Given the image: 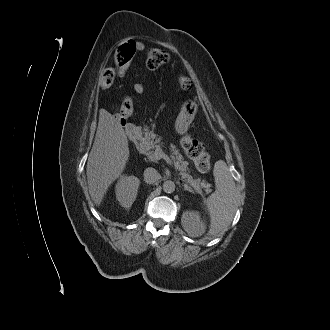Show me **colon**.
Listing matches in <instances>:
<instances>
[{"mask_svg":"<svg viewBox=\"0 0 330 330\" xmlns=\"http://www.w3.org/2000/svg\"><path fill=\"white\" fill-rule=\"evenodd\" d=\"M136 53L135 43L128 41L119 46L114 53V61L117 67H124L132 62V59ZM169 60V54L160 48L152 47L148 49L146 53V66L147 68L154 70L165 65ZM116 73L112 68H106L102 71L100 77V85L103 88L111 86L115 79ZM178 82L180 87L189 91L192 87L190 79L186 76H178ZM121 106L127 111L129 117L133 111V100L130 96H126ZM120 116V112H119ZM121 117V116H120ZM121 117V118H126ZM182 147L186 155L194 162L196 169L201 173L209 171L211 166L210 156L206 152L204 145L192 136H185L182 139Z\"/></svg>","mask_w":330,"mask_h":330,"instance_id":"5ec220e1","label":"colon"}]
</instances>
